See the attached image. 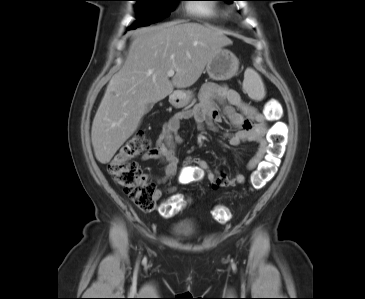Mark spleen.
Listing matches in <instances>:
<instances>
[{
    "mask_svg": "<svg viewBox=\"0 0 365 299\" xmlns=\"http://www.w3.org/2000/svg\"><path fill=\"white\" fill-rule=\"evenodd\" d=\"M243 88L248 96L255 101H261L265 97L261 76L252 68H247L244 73Z\"/></svg>",
    "mask_w": 365,
    "mask_h": 299,
    "instance_id": "3e777b00",
    "label": "spleen"
}]
</instances>
